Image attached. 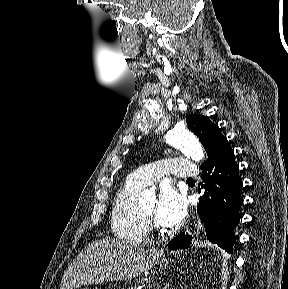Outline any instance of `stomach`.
<instances>
[{"label":"stomach","instance_id":"stomach-1","mask_svg":"<svg viewBox=\"0 0 288 289\" xmlns=\"http://www.w3.org/2000/svg\"><path fill=\"white\" fill-rule=\"evenodd\" d=\"M168 265H169V260L167 258H162L159 261V267L162 270H165L168 267ZM83 289H87V288H83Z\"/></svg>","mask_w":288,"mask_h":289}]
</instances>
